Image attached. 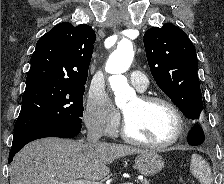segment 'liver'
Listing matches in <instances>:
<instances>
[{
    "instance_id": "liver-1",
    "label": "liver",
    "mask_w": 224,
    "mask_h": 184,
    "mask_svg": "<svg viewBox=\"0 0 224 184\" xmlns=\"http://www.w3.org/2000/svg\"><path fill=\"white\" fill-rule=\"evenodd\" d=\"M143 152L114 143L39 139L26 145L13 158L9 168L10 184L99 181L109 174L108 165L115 159Z\"/></svg>"
}]
</instances>
